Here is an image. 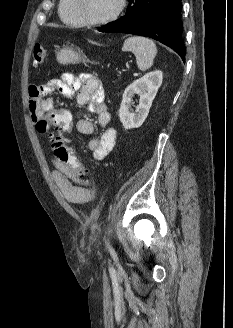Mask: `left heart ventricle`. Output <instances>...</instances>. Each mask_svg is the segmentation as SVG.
Segmentation results:
<instances>
[{
  "label": "left heart ventricle",
  "instance_id": "1",
  "mask_svg": "<svg viewBox=\"0 0 233 328\" xmlns=\"http://www.w3.org/2000/svg\"><path fill=\"white\" fill-rule=\"evenodd\" d=\"M118 3L119 0H82V10L86 18L101 20L113 14Z\"/></svg>",
  "mask_w": 233,
  "mask_h": 328
}]
</instances>
